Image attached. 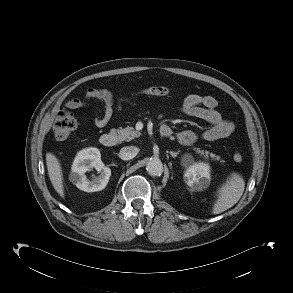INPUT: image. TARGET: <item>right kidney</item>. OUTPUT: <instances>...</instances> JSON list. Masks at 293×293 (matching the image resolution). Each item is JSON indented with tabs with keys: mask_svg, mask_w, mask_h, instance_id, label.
<instances>
[{
	"mask_svg": "<svg viewBox=\"0 0 293 293\" xmlns=\"http://www.w3.org/2000/svg\"><path fill=\"white\" fill-rule=\"evenodd\" d=\"M92 168H95L100 175L89 181L85 173ZM71 170L70 181L85 192L103 190L111 176V170L102 162L100 151L97 148L81 150L75 157Z\"/></svg>",
	"mask_w": 293,
	"mask_h": 293,
	"instance_id": "ca27d5eb",
	"label": "right kidney"
}]
</instances>
